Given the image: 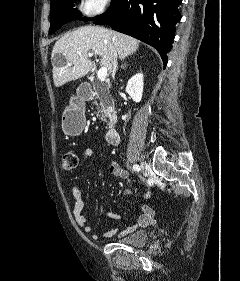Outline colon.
<instances>
[{"label":"colon","mask_w":240,"mask_h":281,"mask_svg":"<svg viewBox=\"0 0 240 281\" xmlns=\"http://www.w3.org/2000/svg\"><path fill=\"white\" fill-rule=\"evenodd\" d=\"M79 159L75 152L66 151L61 156L60 166L65 171H70L78 166Z\"/></svg>","instance_id":"colon-1"}]
</instances>
